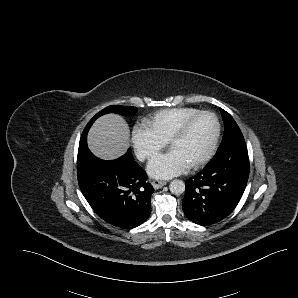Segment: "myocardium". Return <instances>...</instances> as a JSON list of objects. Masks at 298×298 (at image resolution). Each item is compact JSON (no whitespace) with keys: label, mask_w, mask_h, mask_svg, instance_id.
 <instances>
[{"label":"myocardium","mask_w":298,"mask_h":298,"mask_svg":"<svg viewBox=\"0 0 298 298\" xmlns=\"http://www.w3.org/2000/svg\"><path fill=\"white\" fill-rule=\"evenodd\" d=\"M203 116H207L212 120L213 123V135L211 137V140L207 146V149L205 150V152L198 157L192 164L189 165V168H194L198 165H200L201 163H203L204 161H206L213 149L214 146L216 144L218 135H219V124L218 121L216 119V117L208 111H200L198 113H196L195 115H192L184 120H182L176 127L175 129H173L170 134L166 137V146L168 148H170L171 143L177 139L194 121H196L198 118L203 117Z\"/></svg>","instance_id":"myocardium-1"}]
</instances>
